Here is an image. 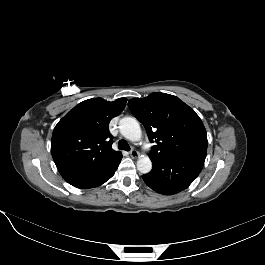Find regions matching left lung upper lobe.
<instances>
[{
  "label": "left lung upper lobe",
  "instance_id": "5c2ea615",
  "mask_svg": "<svg viewBox=\"0 0 265 265\" xmlns=\"http://www.w3.org/2000/svg\"><path fill=\"white\" fill-rule=\"evenodd\" d=\"M128 106L143 123L149 140L157 143L149 153L150 158L207 150V135L201 119L176 96L152 93L129 100Z\"/></svg>",
  "mask_w": 265,
  "mask_h": 265
}]
</instances>
